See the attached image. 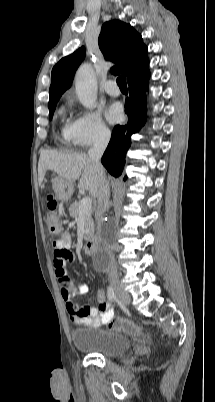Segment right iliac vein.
<instances>
[{
	"mask_svg": "<svg viewBox=\"0 0 215 402\" xmlns=\"http://www.w3.org/2000/svg\"><path fill=\"white\" fill-rule=\"evenodd\" d=\"M113 289L124 305L126 306L130 305L131 302L130 296L120 285L114 284Z\"/></svg>",
	"mask_w": 215,
	"mask_h": 402,
	"instance_id": "obj_1",
	"label": "right iliac vein"
}]
</instances>
